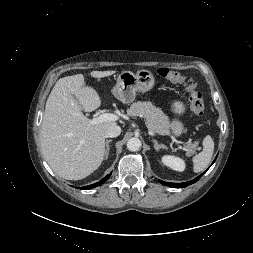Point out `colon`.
<instances>
[{"label": "colon", "mask_w": 253, "mask_h": 253, "mask_svg": "<svg viewBox=\"0 0 253 253\" xmlns=\"http://www.w3.org/2000/svg\"><path fill=\"white\" fill-rule=\"evenodd\" d=\"M157 74L161 78L172 83L183 84L189 92L190 108L192 112L199 117L204 114L205 106L203 96L201 92L197 89L196 82L191 77L185 76L180 72L169 68H160L157 70Z\"/></svg>", "instance_id": "obj_1"}]
</instances>
